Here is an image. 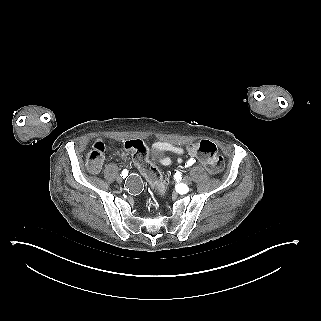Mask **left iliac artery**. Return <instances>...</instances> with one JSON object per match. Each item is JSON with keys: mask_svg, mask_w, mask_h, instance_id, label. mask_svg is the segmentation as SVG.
<instances>
[{"mask_svg": "<svg viewBox=\"0 0 321 321\" xmlns=\"http://www.w3.org/2000/svg\"><path fill=\"white\" fill-rule=\"evenodd\" d=\"M194 160L193 159H190L186 164L185 166L188 167V166H191L192 164H194Z\"/></svg>", "mask_w": 321, "mask_h": 321, "instance_id": "1", "label": "left iliac artery"}]
</instances>
